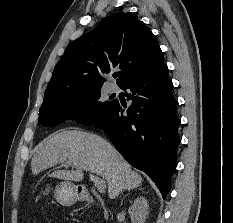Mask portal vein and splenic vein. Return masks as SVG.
Instances as JSON below:
<instances>
[{
  "label": "portal vein and splenic vein",
  "instance_id": "1",
  "mask_svg": "<svg viewBox=\"0 0 233 223\" xmlns=\"http://www.w3.org/2000/svg\"><path fill=\"white\" fill-rule=\"evenodd\" d=\"M90 179L93 181L94 185H96L97 189H104V187H106L105 179H101V177H97V175H92V173H90Z\"/></svg>",
  "mask_w": 233,
  "mask_h": 223
}]
</instances>
